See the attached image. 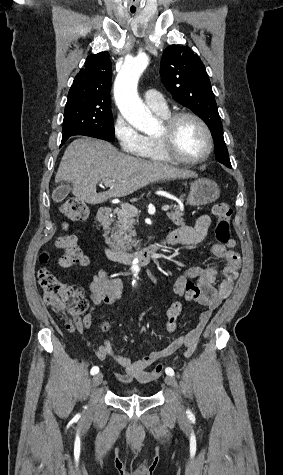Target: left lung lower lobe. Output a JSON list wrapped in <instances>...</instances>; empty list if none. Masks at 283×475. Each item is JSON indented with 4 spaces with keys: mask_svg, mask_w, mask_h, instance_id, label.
<instances>
[{
    "mask_svg": "<svg viewBox=\"0 0 283 475\" xmlns=\"http://www.w3.org/2000/svg\"><path fill=\"white\" fill-rule=\"evenodd\" d=\"M215 143L216 159L231 168V163L228 156V151L224 142L223 134H212Z\"/></svg>",
    "mask_w": 283,
    "mask_h": 475,
    "instance_id": "1",
    "label": "left lung lower lobe"
}]
</instances>
